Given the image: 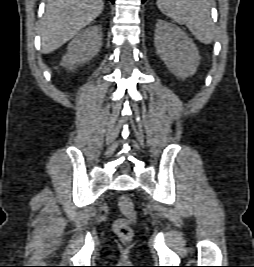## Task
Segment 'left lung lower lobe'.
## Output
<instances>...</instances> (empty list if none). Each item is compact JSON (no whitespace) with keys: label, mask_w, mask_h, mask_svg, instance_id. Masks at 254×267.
Masks as SVG:
<instances>
[{"label":"left lung lower lobe","mask_w":254,"mask_h":267,"mask_svg":"<svg viewBox=\"0 0 254 267\" xmlns=\"http://www.w3.org/2000/svg\"><path fill=\"white\" fill-rule=\"evenodd\" d=\"M146 0H142V3H144Z\"/></svg>","instance_id":"1"}]
</instances>
